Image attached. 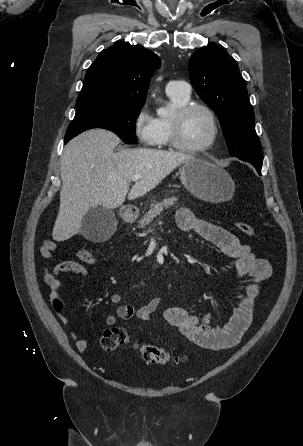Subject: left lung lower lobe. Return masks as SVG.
Segmentation results:
<instances>
[{"instance_id":"0a47b994","label":"left lung lower lobe","mask_w":303,"mask_h":446,"mask_svg":"<svg viewBox=\"0 0 303 446\" xmlns=\"http://www.w3.org/2000/svg\"><path fill=\"white\" fill-rule=\"evenodd\" d=\"M254 167L256 168V170L258 171V173H260L261 168H260V167H257V166H254Z\"/></svg>"}]
</instances>
